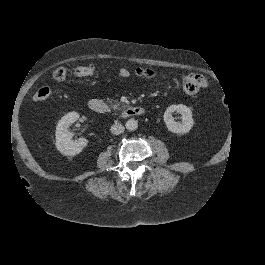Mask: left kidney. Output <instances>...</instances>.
Returning a JSON list of instances; mask_svg holds the SVG:
<instances>
[{"instance_id": "left-kidney-1", "label": "left kidney", "mask_w": 265, "mask_h": 265, "mask_svg": "<svg viewBox=\"0 0 265 265\" xmlns=\"http://www.w3.org/2000/svg\"><path fill=\"white\" fill-rule=\"evenodd\" d=\"M173 112L181 114L182 122H176L172 116ZM164 122L169 131L184 134L190 131L193 126L192 111L185 105H171L164 113Z\"/></svg>"}]
</instances>
